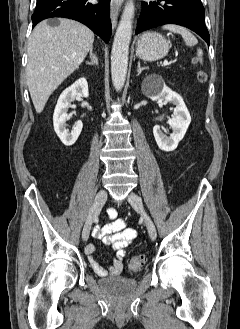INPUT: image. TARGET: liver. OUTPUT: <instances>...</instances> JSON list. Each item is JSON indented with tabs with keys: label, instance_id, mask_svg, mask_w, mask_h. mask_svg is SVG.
<instances>
[{
	"label": "liver",
	"instance_id": "liver-1",
	"mask_svg": "<svg viewBox=\"0 0 240 329\" xmlns=\"http://www.w3.org/2000/svg\"><path fill=\"white\" fill-rule=\"evenodd\" d=\"M94 34L73 20L59 19L58 26L42 21L33 30L27 47L26 78L33 105L41 113L50 95L84 61Z\"/></svg>",
	"mask_w": 240,
	"mask_h": 329
}]
</instances>
